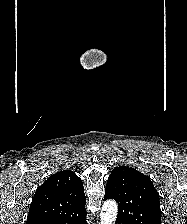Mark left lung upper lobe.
I'll return each mask as SVG.
<instances>
[{
	"label": "left lung upper lobe",
	"instance_id": "5c2ea615",
	"mask_svg": "<svg viewBox=\"0 0 187 224\" xmlns=\"http://www.w3.org/2000/svg\"><path fill=\"white\" fill-rule=\"evenodd\" d=\"M118 203L120 224H161L159 194L149 177L138 170L119 166L110 174L104 200Z\"/></svg>",
	"mask_w": 187,
	"mask_h": 224
}]
</instances>
